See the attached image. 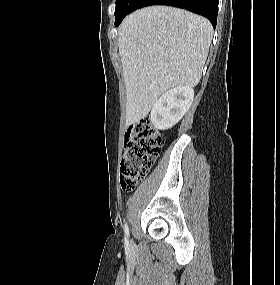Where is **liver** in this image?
Masks as SVG:
<instances>
[{"label": "liver", "mask_w": 280, "mask_h": 285, "mask_svg": "<svg viewBox=\"0 0 280 285\" xmlns=\"http://www.w3.org/2000/svg\"><path fill=\"white\" fill-rule=\"evenodd\" d=\"M212 35L207 19L172 7H146L123 20L118 47L127 126L144 118L167 90L199 83Z\"/></svg>", "instance_id": "obj_1"}]
</instances>
